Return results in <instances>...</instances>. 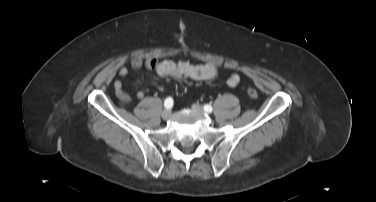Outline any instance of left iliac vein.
<instances>
[{"label":"left iliac vein","instance_id":"4c4485c4","mask_svg":"<svg viewBox=\"0 0 376 202\" xmlns=\"http://www.w3.org/2000/svg\"><path fill=\"white\" fill-rule=\"evenodd\" d=\"M192 109L194 110V111H196V112H198V113H204V110H203V108L199 105V104H196V103H194V104H192Z\"/></svg>","mask_w":376,"mask_h":202}]
</instances>
